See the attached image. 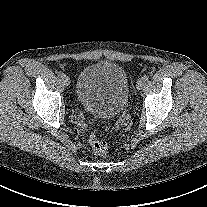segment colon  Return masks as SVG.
Masks as SVG:
<instances>
[{"label":"colon","instance_id":"obj_1","mask_svg":"<svg viewBox=\"0 0 207 207\" xmlns=\"http://www.w3.org/2000/svg\"><path fill=\"white\" fill-rule=\"evenodd\" d=\"M89 143L91 148L97 155L101 157H106L108 155V144L104 140H101L95 133L90 135Z\"/></svg>","mask_w":207,"mask_h":207}]
</instances>
